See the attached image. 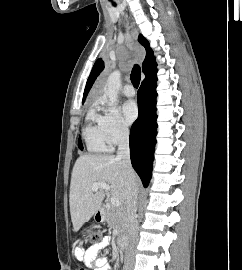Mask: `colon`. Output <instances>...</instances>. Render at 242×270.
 Returning a JSON list of instances; mask_svg holds the SVG:
<instances>
[{"instance_id": "1", "label": "colon", "mask_w": 242, "mask_h": 270, "mask_svg": "<svg viewBox=\"0 0 242 270\" xmlns=\"http://www.w3.org/2000/svg\"><path fill=\"white\" fill-rule=\"evenodd\" d=\"M100 238V232L96 230L95 228H88L85 232V240L94 243L98 241ZM77 270H86L83 267L78 268Z\"/></svg>"}]
</instances>
